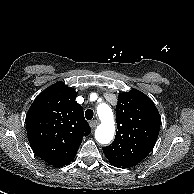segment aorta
Masks as SVG:
<instances>
[{"label":"aorta","mask_w":194,"mask_h":194,"mask_svg":"<svg viewBox=\"0 0 194 194\" xmlns=\"http://www.w3.org/2000/svg\"><path fill=\"white\" fill-rule=\"evenodd\" d=\"M97 114L101 123L95 130V138L100 144H109L115 133L113 112L107 104H100L97 107Z\"/></svg>","instance_id":"aorta-1"}]
</instances>
